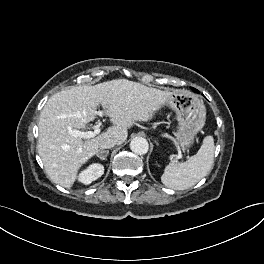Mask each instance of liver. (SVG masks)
I'll use <instances>...</instances> for the list:
<instances>
[{"label":"liver","mask_w":264,"mask_h":264,"mask_svg":"<svg viewBox=\"0 0 264 264\" xmlns=\"http://www.w3.org/2000/svg\"><path fill=\"white\" fill-rule=\"evenodd\" d=\"M172 92L146 87L126 79L95 86H73L49 98L38 123V153L50 179L71 188L81 166L98 152L107 138L122 144L136 121H149L165 105ZM103 107L113 126L95 138L83 140L70 135L93 121Z\"/></svg>","instance_id":"1"}]
</instances>
